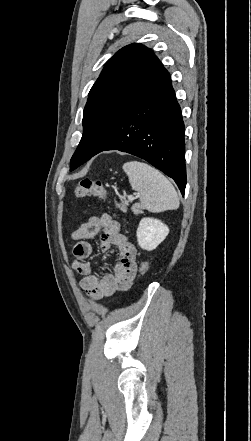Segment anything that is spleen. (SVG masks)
Listing matches in <instances>:
<instances>
[{"mask_svg": "<svg viewBox=\"0 0 251 441\" xmlns=\"http://www.w3.org/2000/svg\"><path fill=\"white\" fill-rule=\"evenodd\" d=\"M123 170L132 189L139 193L144 209L163 212L179 207V198L174 186L154 167L140 161H129L124 163Z\"/></svg>", "mask_w": 251, "mask_h": 441, "instance_id": "spleen-1", "label": "spleen"}]
</instances>
